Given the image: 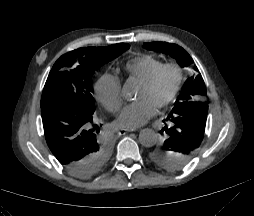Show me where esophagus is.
I'll list each match as a JSON object with an SVG mask.
<instances>
[{
  "label": "esophagus",
  "instance_id": "1",
  "mask_svg": "<svg viewBox=\"0 0 254 216\" xmlns=\"http://www.w3.org/2000/svg\"><path fill=\"white\" fill-rule=\"evenodd\" d=\"M131 131H135V129H130V130L121 129L118 133H119V135H125L126 133L131 132Z\"/></svg>",
  "mask_w": 254,
  "mask_h": 216
}]
</instances>
